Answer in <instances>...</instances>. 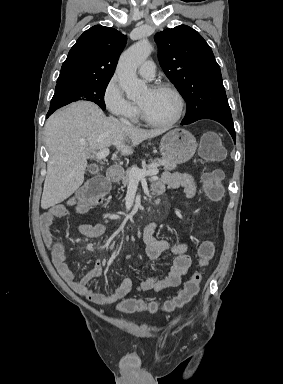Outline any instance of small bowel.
<instances>
[{"label":"small bowel","instance_id":"obj_1","mask_svg":"<svg viewBox=\"0 0 283 384\" xmlns=\"http://www.w3.org/2000/svg\"><path fill=\"white\" fill-rule=\"evenodd\" d=\"M165 188H183L185 195L189 198L194 196L196 192L194 179L188 174L179 172L164 173L153 185L154 192L158 194L162 193ZM66 214V207L63 204H56L47 210L40 221L44 242L50 250L52 261L59 275L75 292L92 303L108 305L119 302L133 288V283L130 278H123L119 285L107 294L97 292L89 287V283L102 273L103 263L101 260H97L94 267L79 280L75 279L74 273L68 266L63 243L55 239L51 231V225L54 219L63 217ZM156 227V223L151 222L145 226L143 231V240L146 245L147 255L145 263L147 267H151V263L159 260L167 251L172 252L174 259L171 263L169 273L165 277L159 278L156 273L152 271L149 277L136 287L137 291L161 292L178 287L181 285L183 277L187 274L191 266V258L188 255V244L186 242L172 243L165 239L156 238L154 236ZM105 231L106 226L103 223L82 224L79 226V232L88 238L101 237Z\"/></svg>","mask_w":283,"mask_h":384}]
</instances>
